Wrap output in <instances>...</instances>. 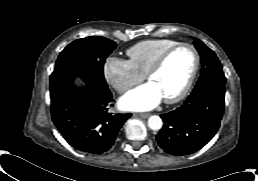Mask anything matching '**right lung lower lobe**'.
<instances>
[{"label":"right lung lower lobe","mask_w":258,"mask_h":181,"mask_svg":"<svg viewBox=\"0 0 258 181\" xmlns=\"http://www.w3.org/2000/svg\"><path fill=\"white\" fill-rule=\"evenodd\" d=\"M75 75L54 69L50 77L51 115L65 140L75 149L102 154L113 145L117 134L131 114L108 112L113 102L108 87L87 83L73 84Z\"/></svg>","instance_id":"98d812e1"}]
</instances>
